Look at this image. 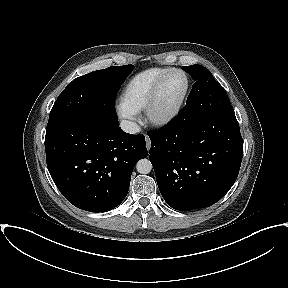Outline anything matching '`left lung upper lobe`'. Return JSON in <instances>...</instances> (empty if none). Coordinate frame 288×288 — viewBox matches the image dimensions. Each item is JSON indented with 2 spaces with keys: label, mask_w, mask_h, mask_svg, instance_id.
Here are the masks:
<instances>
[{
  "label": "left lung upper lobe",
  "mask_w": 288,
  "mask_h": 288,
  "mask_svg": "<svg viewBox=\"0 0 288 288\" xmlns=\"http://www.w3.org/2000/svg\"><path fill=\"white\" fill-rule=\"evenodd\" d=\"M196 81L187 98L186 105L180 111L196 118L205 115H218L236 120L234 110L226 91L214 79L211 72L202 65L183 66Z\"/></svg>",
  "instance_id": "1"
}]
</instances>
